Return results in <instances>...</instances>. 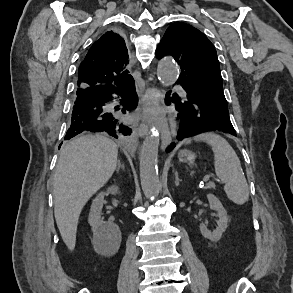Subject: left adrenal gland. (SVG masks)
I'll use <instances>...</instances> for the list:
<instances>
[{
  "label": "left adrenal gland",
  "instance_id": "left-adrenal-gland-1",
  "mask_svg": "<svg viewBox=\"0 0 293 293\" xmlns=\"http://www.w3.org/2000/svg\"><path fill=\"white\" fill-rule=\"evenodd\" d=\"M180 181H181V180H180L179 177H178V172L175 171V185H176V186H179Z\"/></svg>",
  "mask_w": 293,
  "mask_h": 293
}]
</instances>
